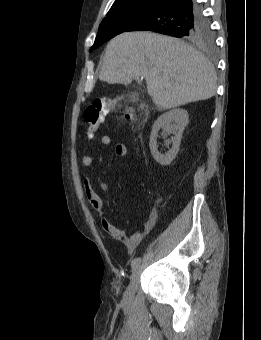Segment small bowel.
Here are the masks:
<instances>
[{
	"label": "small bowel",
	"instance_id": "1",
	"mask_svg": "<svg viewBox=\"0 0 261 340\" xmlns=\"http://www.w3.org/2000/svg\"><path fill=\"white\" fill-rule=\"evenodd\" d=\"M100 144L102 146H109L111 144V138L104 135L100 139ZM114 154L117 157H124L127 154V147L122 143H117L114 147ZM82 165L84 167H91L94 163V156L92 154H86L82 158ZM84 193L90 206L98 213L102 215L101 226L102 228L113 238L122 241L129 253H133L140 242L142 241L145 233H147L154 226L156 221L155 213H151L144 224V229L142 231H136L130 236L122 229L114 226L108 217L105 215L104 206L100 196L93 190L89 180L83 178Z\"/></svg>",
	"mask_w": 261,
	"mask_h": 340
}]
</instances>
